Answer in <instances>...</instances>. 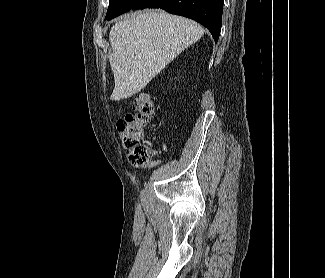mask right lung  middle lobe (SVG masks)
<instances>
[{
	"label": "right lung middle lobe",
	"mask_w": 325,
	"mask_h": 278,
	"mask_svg": "<svg viewBox=\"0 0 325 278\" xmlns=\"http://www.w3.org/2000/svg\"><path fill=\"white\" fill-rule=\"evenodd\" d=\"M136 0H110L106 19L111 20L132 9Z\"/></svg>",
	"instance_id": "obj_1"
}]
</instances>
